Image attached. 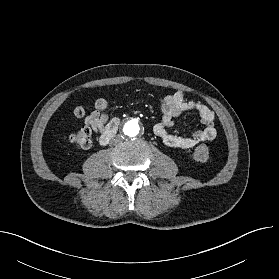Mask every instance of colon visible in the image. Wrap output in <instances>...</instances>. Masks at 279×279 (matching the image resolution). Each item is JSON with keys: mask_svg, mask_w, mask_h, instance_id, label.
Instances as JSON below:
<instances>
[{"mask_svg": "<svg viewBox=\"0 0 279 279\" xmlns=\"http://www.w3.org/2000/svg\"><path fill=\"white\" fill-rule=\"evenodd\" d=\"M76 117H82L85 114L83 107H77L74 110ZM66 140L77 148L86 149L91 146L92 135L89 127H83L78 131L72 132L66 136ZM210 150L207 143L200 144L195 148L192 157L197 162H206L209 159Z\"/></svg>", "mask_w": 279, "mask_h": 279, "instance_id": "colon-1", "label": "colon"}]
</instances>
